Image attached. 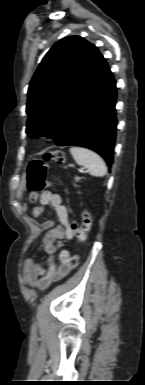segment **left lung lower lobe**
I'll return each instance as SVG.
<instances>
[{
    "mask_svg": "<svg viewBox=\"0 0 145 385\" xmlns=\"http://www.w3.org/2000/svg\"><path fill=\"white\" fill-rule=\"evenodd\" d=\"M116 97L115 80L99 53L81 94L53 137L55 143L89 148L100 154L110 166L117 127Z\"/></svg>",
    "mask_w": 145,
    "mask_h": 385,
    "instance_id": "obj_1",
    "label": "left lung lower lobe"
}]
</instances>
